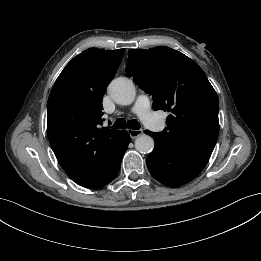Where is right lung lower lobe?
I'll return each mask as SVG.
<instances>
[{"instance_id":"1","label":"right lung lower lobe","mask_w":261,"mask_h":261,"mask_svg":"<svg viewBox=\"0 0 261 261\" xmlns=\"http://www.w3.org/2000/svg\"><path fill=\"white\" fill-rule=\"evenodd\" d=\"M129 141H130V136L128 132L124 130V134L120 140V143L115 149L108 164L103 168V170L98 175H96L95 177L89 179L88 181L80 185L86 188L95 189V188L105 186L111 181H113L119 172L121 166V160L124 153L127 150Z\"/></svg>"}]
</instances>
